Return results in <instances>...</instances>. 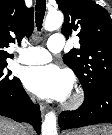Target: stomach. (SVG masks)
Masks as SVG:
<instances>
[{
    "label": "stomach",
    "instance_id": "stomach-1",
    "mask_svg": "<svg viewBox=\"0 0 112 135\" xmlns=\"http://www.w3.org/2000/svg\"><path fill=\"white\" fill-rule=\"evenodd\" d=\"M67 135H112V126L110 125L90 126L79 131L70 132Z\"/></svg>",
    "mask_w": 112,
    "mask_h": 135
}]
</instances>
